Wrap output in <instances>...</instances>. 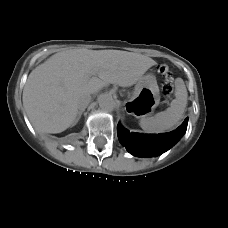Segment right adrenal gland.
<instances>
[{
    "instance_id": "right-adrenal-gland-1",
    "label": "right adrenal gland",
    "mask_w": 228,
    "mask_h": 228,
    "mask_svg": "<svg viewBox=\"0 0 228 228\" xmlns=\"http://www.w3.org/2000/svg\"><path fill=\"white\" fill-rule=\"evenodd\" d=\"M83 112H84V110H80V111L78 112V115H77V118H76V120H75L74 125L79 121V119L81 118V115H82Z\"/></svg>"
}]
</instances>
